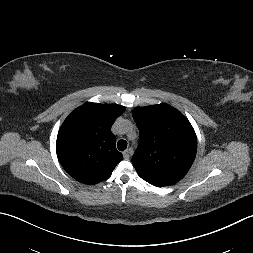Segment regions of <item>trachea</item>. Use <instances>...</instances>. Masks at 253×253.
<instances>
[{"mask_svg":"<svg viewBox=\"0 0 253 253\" xmlns=\"http://www.w3.org/2000/svg\"><path fill=\"white\" fill-rule=\"evenodd\" d=\"M117 148L120 151L125 150L127 148V142L125 140H119L118 143H117Z\"/></svg>","mask_w":253,"mask_h":253,"instance_id":"trachea-1","label":"trachea"}]
</instances>
